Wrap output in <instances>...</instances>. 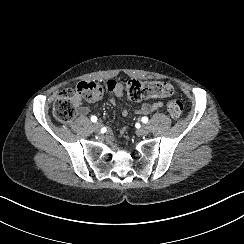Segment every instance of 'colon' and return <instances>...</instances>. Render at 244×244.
Wrapping results in <instances>:
<instances>
[{
  "label": "colon",
  "instance_id": "colon-1",
  "mask_svg": "<svg viewBox=\"0 0 244 244\" xmlns=\"http://www.w3.org/2000/svg\"><path fill=\"white\" fill-rule=\"evenodd\" d=\"M128 97L133 101L150 98L173 97L175 88L165 81H140L131 79L126 84ZM105 94L104 86L95 81L80 82L74 88L63 90L54 104L53 113L61 122H69L76 115V109L82 99L89 102L99 101ZM167 112L172 119H179L183 105L178 100L167 103Z\"/></svg>",
  "mask_w": 244,
  "mask_h": 244
}]
</instances>
